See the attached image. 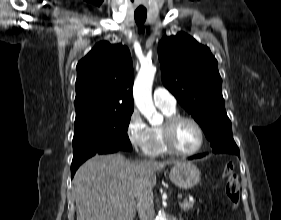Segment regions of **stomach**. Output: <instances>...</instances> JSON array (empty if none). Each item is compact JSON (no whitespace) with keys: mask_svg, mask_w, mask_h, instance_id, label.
Wrapping results in <instances>:
<instances>
[{"mask_svg":"<svg viewBox=\"0 0 281 220\" xmlns=\"http://www.w3.org/2000/svg\"><path fill=\"white\" fill-rule=\"evenodd\" d=\"M200 175L197 166L191 162L174 164L169 173L170 180L182 189H190L196 186L200 181Z\"/></svg>","mask_w":281,"mask_h":220,"instance_id":"stomach-1","label":"stomach"}]
</instances>
